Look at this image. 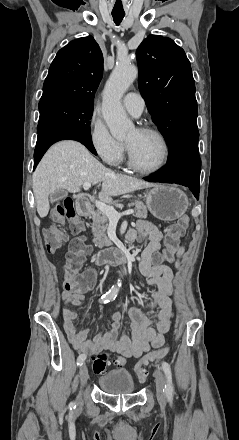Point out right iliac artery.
Returning a JSON list of instances; mask_svg holds the SVG:
<instances>
[{
    "label": "right iliac artery",
    "instance_id": "1",
    "mask_svg": "<svg viewBox=\"0 0 239 440\" xmlns=\"http://www.w3.org/2000/svg\"><path fill=\"white\" fill-rule=\"evenodd\" d=\"M118 294V288L117 287H112L106 294H104L101 299L100 302L101 303H108L110 301H113L116 296ZM86 359V355L85 354H80L77 358V365L78 366H82L84 361ZM71 408H75L74 403L70 404Z\"/></svg>",
    "mask_w": 239,
    "mask_h": 440
}]
</instances>
